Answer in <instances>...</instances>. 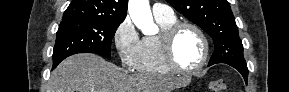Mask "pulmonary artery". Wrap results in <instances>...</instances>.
<instances>
[{"label": "pulmonary artery", "instance_id": "pulmonary-artery-1", "mask_svg": "<svg viewBox=\"0 0 289 92\" xmlns=\"http://www.w3.org/2000/svg\"><path fill=\"white\" fill-rule=\"evenodd\" d=\"M153 15L157 17H170L173 16V10L162 3H155L152 7Z\"/></svg>", "mask_w": 289, "mask_h": 92}]
</instances>
